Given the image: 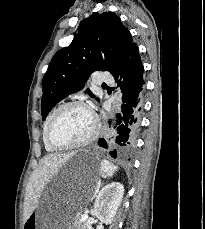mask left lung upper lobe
Instances as JSON below:
<instances>
[{
	"instance_id": "5c2ea615",
	"label": "left lung upper lobe",
	"mask_w": 205,
	"mask_h": 229,
	"mask_svg": "<svg viewBox=\"0 0 205 229\" xmlns=\"http://www.w3.org/2000/svg\"><path fill=\"white\" fill-rule=\"evenodd\" d=\"M132 43L130 32L112 12L94 13L82 20L72 43L54 55L43 77L42 119L59 101L81 90L92 72L112 74Z\"/></svg>"
}]
</instances>
